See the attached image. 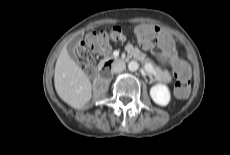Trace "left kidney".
<instances>
[{
    "label": "left kidney",
    "mask_w": 230,
    "mask_h": 155,
    "mask_svg": "<svg viewBox=\"0 0 230 155\" xmlns=\"http://www.w3.org/2000/svg\"><path fill=\"white\" fill-rule=\"evenodd\" d=\"M150 96L153 101L161 106H166L170 101V92L166 85L158 84L150 89Z\"/></svg>",
    "instance_id": "left-kidney-1"
}]
</instances>
